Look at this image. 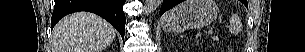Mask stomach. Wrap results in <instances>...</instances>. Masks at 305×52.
<instances>
[{"mask_svg": "<svg viewBox=\"0 0 305 52\" xmlns=\"http://www.w3.org/2000/svg\"><path fill=\"white\" fill-rule=\"evenodd\" d=\"M219 9L214 0H186L163 16L166 31L182 33L189 29H201L211 24Z\"/></svg>", "mask_w": 305, "mask_h": 52, "instance_id": "1", "label": "stomach"}]
</instances>
